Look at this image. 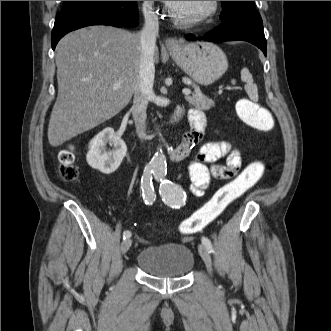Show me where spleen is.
Returning <instances> with one entry per match:
<instances>
[{"label": "spleen", "instance_id": "spleen-1", "mask_svg": "<svg viewBox=\"0 0 331 331\" xmlns=\"http://www.w3.org/2000/svg\"><path fill=\"white\" fill-rule=\"evenodd\" d=\"M241 79L246 82L245 90L249 98L254 102L258 101V89L253 83V77L247 68L241 70Z\"/></svg>", "mask_w": 331, "mask_h": 331}]
</instances>
